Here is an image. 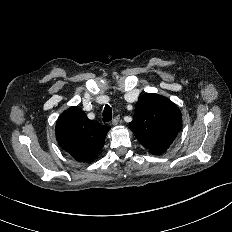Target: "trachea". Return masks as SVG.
Masks as SVG:
<instances>
[{"mask_svg": "<svg viewBox=\"0 0 232 232\" xmlns=\"http://www.w3.org/2000/svg\"><path fill=\"white\" fill-rule=\"evenodd\" d=\"M112 119V108L109 105H105L103 111V121L109 122Z\"/></svg>", "mask_w": 232, "mask_h": 232, "instance_id": "1", "label": "trachea"}]
</instances>
